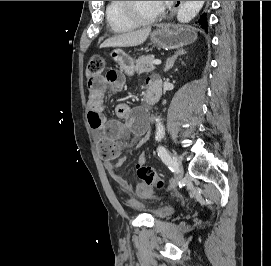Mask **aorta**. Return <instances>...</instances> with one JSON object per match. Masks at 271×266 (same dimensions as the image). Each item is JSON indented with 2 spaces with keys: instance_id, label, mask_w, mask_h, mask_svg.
<instances>
[{
  "instance_id": "aorta-1",
  "label": "aorta",
  "mask_w": 271,
  "mask_h": 266,
  "mask_svg": "<svg viewBox=\"0 0 271 266\" xmlns=\"http://www.w3.org/2000/svg\"><path fill=\"white\" fill-rule=\"evenodd\" d=\"M204 1H185L177 12V20L185 23L191 21L203 7ZM165 134V129L161 120L156 119V137L162 138Z\"/></svg>"
}]
</instances>
